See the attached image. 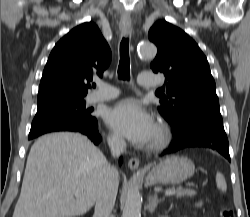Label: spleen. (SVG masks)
Here are the masks:
<instances>
[{
	"label": "spleen",
	"mask_w": 250,
	"mask_h": 217,
	"mask_svg": "<svg viewBox=\"0 0 250 217\" xmlns=\"http://www.w3.org/2000/svg\"><path fill=\"white\" fill-rule=\"evenodd\" d=\"M216 185L219 190H221L222 192H226L227 184L221 172L216 173Z\"/></svg>",
	"instance_id": "spleen-1"
}]
</instances>
